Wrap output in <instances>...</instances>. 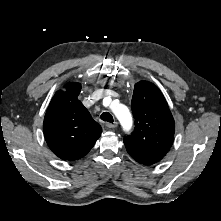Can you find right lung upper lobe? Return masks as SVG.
Returning <instances> with one entry per match:
<instances>
[{"mask_svg": "<svg viewBox=\"0 0 221 221\" xmlns=\"http://www.w3.org/2000/svg\"><path fill=\"white\" fill-rule=\"evenodd\" d=\"M81 85L71 82L57 91L44 118V136L52 152L63 160H78L94 146L102 133L78 99Z\"/></svg>", "mask_w": 221, "mask_h": 221, "instance_id": "obj_1", "label": "right lung upper lobe"}]
</instances>
